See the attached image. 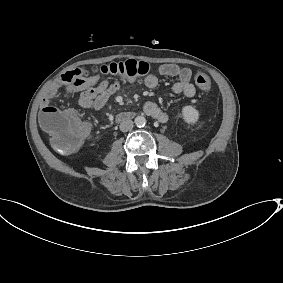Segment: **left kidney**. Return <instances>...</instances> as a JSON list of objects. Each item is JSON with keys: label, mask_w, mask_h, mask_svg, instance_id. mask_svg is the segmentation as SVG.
<instances>
[{"label": "left kidney", "mask_w": 283, "mask_h": 283, "mask_svg": "<svg viewBox=\"0 0 283 283\" xmlns=\"http://www.w3.org/2000/svg\"><path fill=\"white\" fill-rule=\"evenodd\" d=\"M182 120L188 125L196 124L200 118V112L192 105H185L181 109Z\"/></svg>", "instance_id": "left-kidney-1"}]
</instances>
